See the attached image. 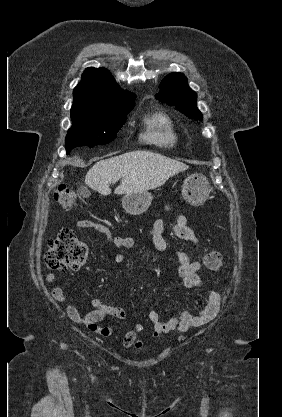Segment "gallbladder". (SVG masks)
<instances>
[{"label": "gallbladder", "instance_id": "bac80fb5", "mask_svg": "<svg viewBox=\"0 0 282 417\" xmlns=\"http://www.w3.org/2000/svg\"><path fill=\"white\" fill-rule=\"evenodd\" d=\"M78 192L80 194V196H85V198H87V196H90L91 192L89 190V188H87V186H80V188H78Z\"/></svg>", "mask_w": 282, "mask_h": 417}]
</instances>
